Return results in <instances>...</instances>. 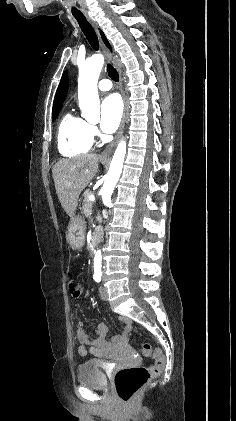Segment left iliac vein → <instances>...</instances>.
<instances>
[{
    "label": "left iliac vein",
    "mask_w": 236,
    "mask_h": 421,
    "mask_svg": "<svg viewBox=\"0 0 236 421\" xmlns=\"http://www.w3.org/2000/svg\"><path fill=\"white\" fill-rule=\"evenodd\" d=\"M100 297L102 300L107 301L108 300V293L105 286L100 287Z\"/></svg>",
    "instance_id": "obj_1"
}]
</instances>
